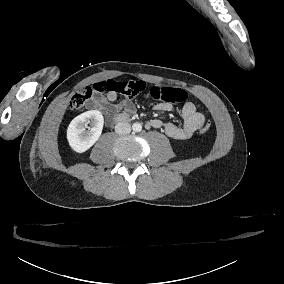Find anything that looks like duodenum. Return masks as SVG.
Returning <instances> with one entry per match:
<instances>
[{"label":"duodenum","mask_w":284,"mask_h":284,"mask_svg":"<svg viewBox=\"0 0 284 284\" xmlns=\"http://www.w3.org/2000/svg\"><path fill=\"white\" fill-rule=\"evenodd\" d=\"M127 116L128 115H119V116H116L115 118H114V121L115 122H123V121H125L126 119H127Z\"/></svg>","instance_id":"410a0bca"}]
</instances>
